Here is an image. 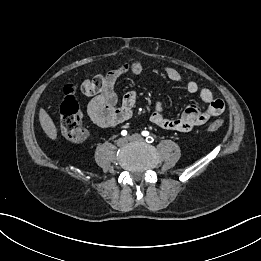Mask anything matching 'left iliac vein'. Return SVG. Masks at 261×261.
I'll list each match as a JSON object with an SVG mask.
<instances>
[{
  "label": "left iliac vein",
  "instance_id": "left-iliac-vein-1",
  "mask_svg": "<svg viewBox=\"0 0 261 261\" xmlns=\"http://www.w3.org/2000/svg\"><path fill=\"white\" fill-rule=\"evenodd\" d=\"M128 140L132 142H143L144 138L140 134H133L128 137Z\"/></svg>",
  "mask_w": 261,
  "mask_h": 261
}]
</instances>
